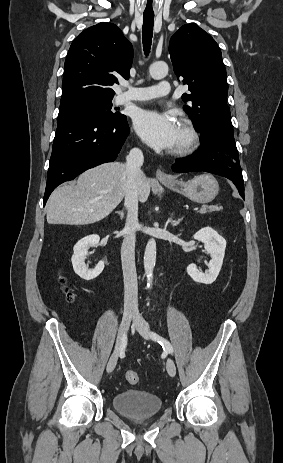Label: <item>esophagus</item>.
Segmentation results:
<instances>
[{
    "label": "esophagus",
    "instance_id": "esophagus-1",
    "mask_svg": "<svg viewBox=\"0 0 283 463\" xmlns=\"http://www.w3.org/2000/svg\"><path fill=\"white\" fill-rule=\"evenodd\" d=\"M156 177L159 181L162 182H169L172 181V177L164 173L162 170L157 169L156 171Z\"/></svg>",
    "mask_w": 283,
    "mask_h": 463
}]
</instances>
